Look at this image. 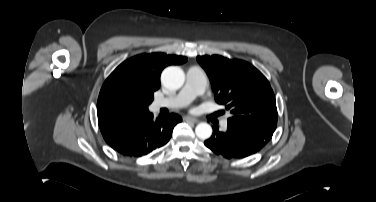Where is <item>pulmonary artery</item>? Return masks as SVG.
<instances>
[{
    "label": "pulmonary artery",
    "instance_id": "obj_1",
    "mask_svg": "<svg viewBox=\"0 0 376 202\" xmlns=\"http://www.w3.org/2000/svg\"><path fill=\"white\" fill-rule=\"evenodd\" d=\"M206 77L203 69L199 66H192L187 70L186 83L183 88L174 96L159 98L154 101V108H182L187 106L195 97L204 92ZM227 126V121H223Z\"/></svg>",
    "mask_w": 376,
    "mask_h": 202
}]
</instances>
